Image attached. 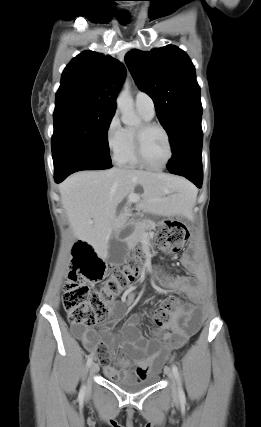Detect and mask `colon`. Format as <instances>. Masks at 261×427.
<instances>
[{
    "label": "colon",
    "mask_w": 261,
    "mask_h": 427,
    "mask_svg": "<svg viewBox=\"0 0 261 427\" xmlns=\"http://www.w3.org/2000/svg\"><path fill=\"white\" fill-rule=\"evenodd\" d=\"M188 236V230L183 224L167 222L158 228L155 245L164 252L177 253L184 247ZM140 265L141 250L130 256L123 265L108 269L89 243L75 244L63 295L69 322L90 327L104 321L108 317L111 302L138 279ZM100 281H103L101 288L90 286ZM179 306L180 302L175 297L161 300L154 314L156 323L165 325Z\"/></svg>",
    "instance_id": "obj_1"
}]
</instances>
